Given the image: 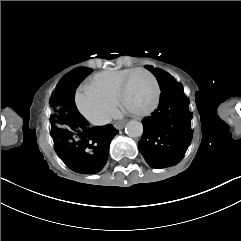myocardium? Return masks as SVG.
I'll return each mask as SVG.
<instances>
[{
    "label": "myocardium",
    "mask_w": 241,
    "mask_h": 241,
    "mask_svg": "<svg viewBox=\"0 0 241 241\" xmlns=\"http://www.w3.org/2000/svg\"><path fill=\"white\" fill-rule=\"evenodd\" d=\"M144 72L145 76H146V80H148L151 85L152 88L154 90V96L152 97V101L150 102V104L143 109V113L141 114L142 118H145L149 112H152L153 109L156 108L157 103L160 102V97H159V88L157 86V82L155 81V79L153 78L152 74L150 73V71L148 70L147 67H139V68H133L132 70H130L126 76L124 77V79H122L119 82V102L120 103H124L125 99H124V85L126 82L130 81V79H132V77L136 74V73H142Z\"/></svg>",
    "instance_id": "f54148a6"
}]
</instances>
